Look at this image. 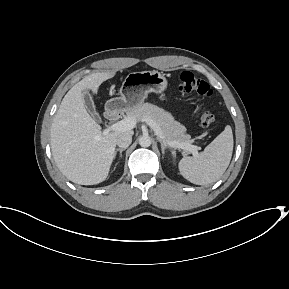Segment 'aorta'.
Returning <instances> with one entry per match:
<instances>
[{
    "label": "aorta",
    "instance_id": "1",
    "mask_svg": "<svg viewBox=\"0 0 289 289\" xmlns=\"http://www.w3.org/2000/svg\"><path fill=\"white\" fill-rule=\"evenodd\" d=\"M152 143V140L149 136L143 135L139 138V144L141 147H149Z\"/></svg>",
    "mask_w": 289,
    "mask_h": 289
}]
</instances>
